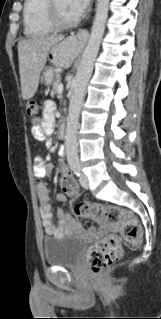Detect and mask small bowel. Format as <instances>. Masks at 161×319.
Wrapping results in <instances>:
<instances>
[{
	"instance_id": "1",
	"label": "small bowel",
	"mask_w": 161,
	"mask_h": 319,
	"mask_svg": "<svg viewBox=\"0 0 161 319\" xmlns=\"http://www.w3.org/2000/svg\"><path fill=\"white\" fill-rule=\"evenodd\" d=\"M56 105L53 101L48 100L44 104L43 108V120L41 125H36L32 128V137L43 142L45 145H49V140L54 131L55 119H56ZM53 165L51 163L46 164L44 159L36 157L34 162L33 173L37 177H42L46 173L52 172ZM62 178L67 177L74 184V188L66 190L68 195H76L78 192V185L72 175L67 171L66 166L61 167ZM38 192V207L39 213L42 219L43 226L48 234L61 235L70 231H81V225L78 221L74 220L69 213L61 210L54 214L51 210L50 197L48 188L43 183L37 184ZM56 200L64 202L66 196L63 193H57L55 195ZM58 218V226L55 225L54 219ZM106 229V225L101 222L100 229L98 231H90L88 235L90 237H99L101 233Z\"/></svg>"
}]
</instances>
